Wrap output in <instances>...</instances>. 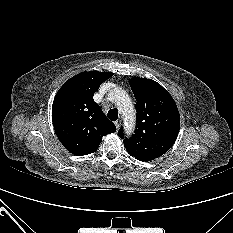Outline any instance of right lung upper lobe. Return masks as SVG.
Here are the masks:
<instances>
[{"label": "right lung upper lobe", "mask_w": 233, "mask_h": 233, "mask_svg": "<svg viewBox=\"0 0 233 233\" xmlns=\"http://www.w3.org/2000/svg\"><path fill=\"white\" fill-rule=\"evenodd\" d=\"M111 72H82L70 78L57 92L52 105L53 126L60 142L72 154L95 152L104 135L116 131L93 100Z\"/></svg>", "instance_id": "right-lung-upper-lobe-1"}]
</instances>
